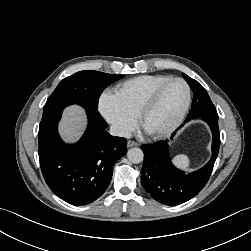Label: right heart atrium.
Listing matches in <instances>:
<instances>
[{
	"label": "right heart atrium",
	"mask_w": 251,
	"mask_h": 251,
	"mask_svg": "<svg viewBox=\"0 0 251 251\" xmlns=\"http://www.w3.org/2000/svg\"><path fill=\"white\" fill-rule=\"evenodd\" d=\"M101 116L121 136H127L136 126L137 117L110 90L101 93L98 99Z\"/></svg>",
	"instance_id": "right-heart-atrium-1"
}]
</instances>
